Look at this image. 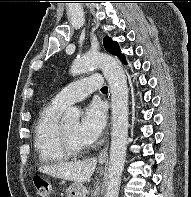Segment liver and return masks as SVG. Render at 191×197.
Wrapping results in <instances>:
<instances>
[{
	"label": "liver",
	"instance_id": "1",
	"mask_svg": "<svg viewBox=\"0 0 191 197\" xmlns=\"http://www.w3.org/2000/svg\"><path fill=\"white\" fill-rule=\"evenodd\" d=\"M97 164L96 158H88L74 162H60L42 165L38 170L42 173L68 181L84 183L90 179Z\"/></svg>",
	"mask_w": 191,
	"mask_h": 197
}]
</instances>
